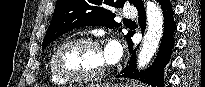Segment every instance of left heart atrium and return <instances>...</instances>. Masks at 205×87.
Here are the masks:
<instances>
[{"label":"left heart atrium","mask_w":205,"mask_h":87,"mask_svg":"<svg viewBox=\"0 0 205 87\" xmlns=\"http://www.w3.org/2000/svg\"><path fill=\"white\" fill-rule=\"evenodd\" d=\"M104 56L109 62L117 61L121 56V48L119 44L115 41L110 42L105 50Z\"/></svg>","instance_id":"obj_1"}]
</instances>
